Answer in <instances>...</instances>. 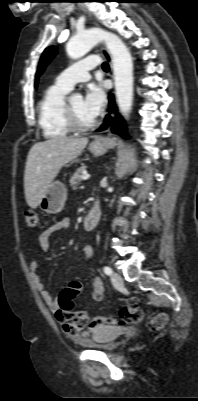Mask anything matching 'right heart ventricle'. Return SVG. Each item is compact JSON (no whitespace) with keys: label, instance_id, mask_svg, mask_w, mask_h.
Masks as SVG:
<instances>
[{"label":"right heart ventricle","instance_id":"right-heart-ventricle-1","mask_svg":"<svg viewBox=\"0 0 198 401\" xmlns=\"http://www.w3.org/2000/svg\"><path fill=\"white\" fill-rule=\"evenodd\" d=\"M69 90L56 83L49 86L38 104V122L47 139L65 138L71 130L64 119L65 97Z\"/></svg>","mask_w":198,"mask_h":401}]
</instances>
